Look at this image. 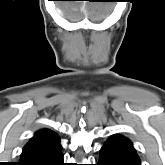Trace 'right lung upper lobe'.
I'll list each match as a JSON object with an SVG mask.
<instances>
[{"label": "right lung upper lobe", "instance_id": "cb5924a9", "mask_svg": "<svg viewBox=\"0 0 165 165\" xmlns=\"http://www.w3.org/2000/svg\"><path fill=\"white\" fill-rule=\"evenodd\" d=\"M56 133L51 131V130H48V129H43V130H40L38 131L34 136L33 138L28 142V144L24 147L23 149V152H22V156L29 152L31 150V145L34 144L35 142L43 139V138H46V137H49V136H52V135H55Z\"/></svg>", "mask_w": 165, "mask_h": 165}]
</instances>
